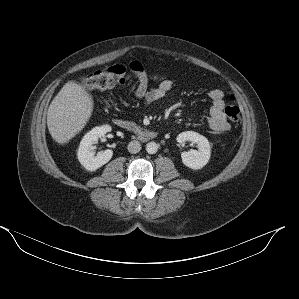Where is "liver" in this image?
I'll return each instance as SVG.
<instances>
[{
  "mask_svg": "<svg viewBox=\"0 0 299 299\" xmlns=\"http://www.w3.org/2000/svg\"><path fill=\"white\" fill-rule=\"evenodd\" d=\"M93 111L92 98L75 82H67L51 102L47 127L53 140L64 145L86 125Z\"/></svg>",
  "mask_w": 299,
  "mask_h": 299,
  "instance_id": "obj_1",
  "label": "liver"
}]
</instances>
